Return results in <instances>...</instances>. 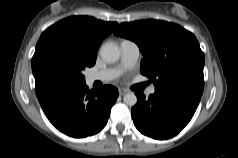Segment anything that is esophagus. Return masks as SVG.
I'll list each match as a JSON object with an SVG mask.
<instances>
[{
	"label": "esophagus",
	"instance_id": "esophagus-1",
	"mask_svg": "<svg viewBox=\"0 0 238 158\" xmlns=\"http://www.w3.org/2000/svg\"><path fill=\"white\" fill-rule=\"evenodd\" d=\"M127 93V90H125V89H122V88H120L119 89V95H124V94H126Z\"/></svg>",
	"mask_w": 238,
	"mask_h": 158
}]
</instances>
